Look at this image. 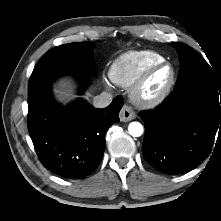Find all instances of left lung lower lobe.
Masks as SVG:
<instances>
[{
	"label": "left lung lower lobe",
	"mask_w": 221,
	"mask_h": 221,
	"mask_svg": "<svg viewBox=\"0 0 221 221\" xmlns=\"http://www.w3.org/2000/svg\"><path fill=\"white\" fill-rule=\"evenodd\" d=\"M221 96L200 86L174 89L155 110L144 111L142 153L158 171L178 175L206 159L221 137ZM218 138V137H217Z\"/></svg>",
	"instance_id": "1"
}]
</instances>
